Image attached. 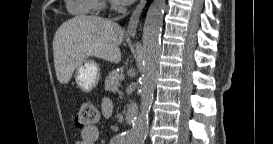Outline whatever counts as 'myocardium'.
Listing matches in <instances>:
<instances>
[{
	"mask_svg": "<svg viewBox=\"0 0 273 144\" xmlns=\"http://www.w3.org/2000/svg\"><path fill=\"white\" fill-rule=\"evenodd\" d=\"M98 8H99V9H103V8H105V3H104V1L99 0V3H98Z\"/></svg>",
	"mask_w": 273,
	"mask_h": 144,
	"instance_id": "myocardium-1",
	"label": "myocardium"
}]
</instances>
